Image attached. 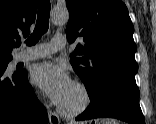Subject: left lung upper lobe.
Wrapping results in <instances>:
<instances>
[{
	"mask_svg": "<svg viewBox=\"0 0 156 124\" xmlns=\"http://www.w3.org/2000/svg\"><path fill=\"white\" fill-rule=\"evenodd\" d=\"M66 6L67 40L85 42L77 45L70 62L89 98L112 88L139 94L134 27L126 5L121 0H66Z\"/></svg>",
	"mask_w": 156,
	"mask_h": 124,
	"instance_id": "obj_1",
	"label": "left lung upper lobe"
}]
</instances>
